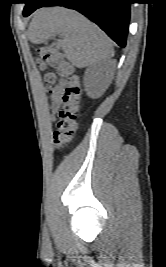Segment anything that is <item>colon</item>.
<instances>
[{
	"label": "colon",
	"mask_w": 166,
	"mask_h": 267,
	"mask_svg": "<svg viewBox=\"0 0 166 267\" xmlns=\"http://www.w3.org/2000/svg\"><path fill=\"white\" fill-rule=\"evenodd\" d=\"M39 66H49L56 73L66 79V87L62 95V106L57 114L55 129L53 132V144L56 149H60L68 144L76 130V119L80 108L82 89L81 82L74 67L65 59L60 46L52 43L39 50ZM47 84L56 81L54 73L45 76Z\"/></svg>",
	"instance_id": "obj_1"
}]
</instances>
